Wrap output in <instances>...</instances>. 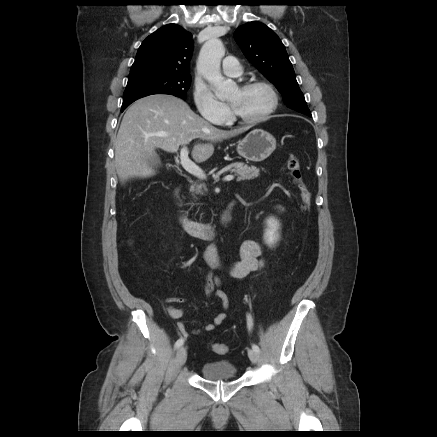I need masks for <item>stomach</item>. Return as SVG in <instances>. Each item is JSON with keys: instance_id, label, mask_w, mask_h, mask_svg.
Listing matches in <instances>:
<instances>
[{"instance_id": "0dacf381", "label": "stomach", "mask_w": 437, "mask_h": 437, "mask_svg": "<svg viewBox=\"0 0 437 437\" xmlns=\"http://www.w3.org/2000/svg\"><path fill=\"white\" fill-rule=\"evenodd\" d=\"M276 149V139L267 131L255 129L237 144V152L247 161L261 162Z\"/></svg>"}]
</instances>
